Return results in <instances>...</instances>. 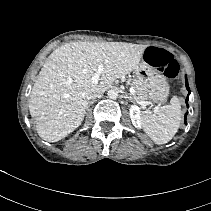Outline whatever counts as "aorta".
I'll return each instance as SVG.
<instances>
[{"instance_id": "obj_1", "label": "aorta", "mask_w": 211, "mask_h": 211, "mask_svg": "<svg viewBox=\"0 0 211 211\" xmlns=\"http://www.w3.org/2000/svg\"><path fill=\"white\" fill-rule=\"evenodd\" d=\"M107 96H108L110 99H116V98H118V91L115 90V89H110V90L107 92Z\"/></svg>"}]
</instances>
